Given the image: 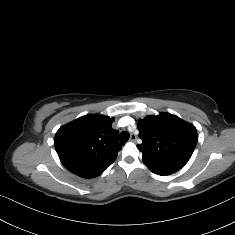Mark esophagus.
Masks as SVG:
<instances>
[{
	"mask_svg": "<svg viewBox=\"0 0 235 235\" xmlns=\"http://www.w3.org/2000/svg\"><path fill=\"white\" fill-rule=\"evenodd\" d=\"M136 139H137V137H136L135 134H131V135H130V141H131V142H135Z\"/></svg>",
	"mask_w": 235,
	"mask_h": 235,
	"instance_id": "esophagus-1",
	"label": "esophagus"
}]
</instances>
